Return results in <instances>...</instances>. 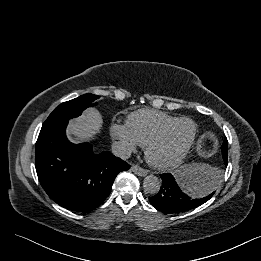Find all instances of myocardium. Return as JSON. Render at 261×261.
Returning <instances> with one entry per match:
<instances>
[{
	"label": "myocardium",
	"instance_id": "1",
	"mask_svg": "<svg viewBox=\"0 0 261 261\" xmlns=\"http://www.w3.org/2000/svg\"><path fill=\"white\" fill-rule=\"evenodd\" d=\"M180 122H188L192 125V133H191V136H190L188 142L186 143L184 148L179 152V154L177 156H175L173 159L167 160V161L157 160L153 156L154 148L164 139V137L167 135V133ZM196 135H197V125L193 120H191L190 118H187V117L176 118L172 122H170L167 125H165L164 127H162L146 143L145 158H146L147 162L155 169H158V170L172 169V168L176 167L177 165H179L186 158V156L188 155L189 151L191 150V148L195 142Z\"/></svg>",
	"mask_w": 261,
	"mask_h": 261
}]
</instances>
